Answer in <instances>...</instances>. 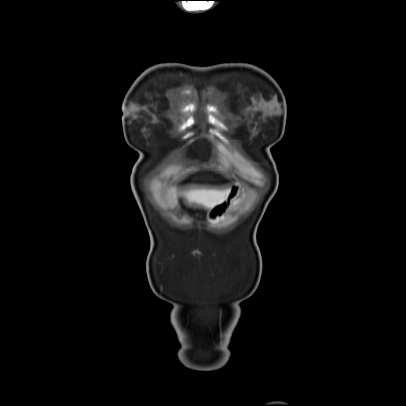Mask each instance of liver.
Segmentation results:
<instances>
[{
	"label": "liver",
	"instance_id": "obj_1",
	"mask_svg": "<svg viewBox=\"0 0 406 406\" xmlns=\"http://www.w3.org/2000/svg\"><path fill=\"white\" fill-rule=\"evenodd\" d=\"M228 195V189L215 188H190L183 192L184 198L189 204L202 206L205 209H211L214 205L222 202ZM174 203L177 201V193L172 192Z\"/></svg>",
	"mask_w": 406,
	"mask_h": 406
}]
</instances>
